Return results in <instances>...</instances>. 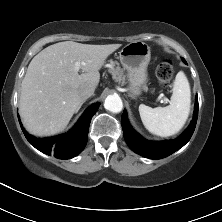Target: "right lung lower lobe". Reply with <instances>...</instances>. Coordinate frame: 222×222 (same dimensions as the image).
I'll list each match as a JSON object with an SVG mask.
<instances>
[{
  "label": "right lung lower lobe",
  "mask_w": 222,
  "mask_h": 222,
  "mask_svg": "<svg viewBox=\"0 0 222 222\" xmlns=\"http://www.w3.org/2000/svg\"><path fill=\"white\" fill-rule=\"evenodd\" d=\"M98 107L99 103L91 105L70 132L52 138L33 137L24 130L20 120L19 123L25 137L36 149L47 155L53 154L59 159H70L84 149L88 139L90 121Z\"/></svg>",
  "instance_id": "right-lung-lower-lobe-1"
}]
</instances>
